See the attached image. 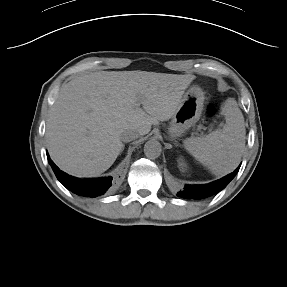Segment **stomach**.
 Masks as SVG:
<instances>
[{"label":"stomach","instance_id":"1","mask_svg":"<svg viewBox=\"0 0 287 287\" xmlns=\"http://www.w3.org/2000/svg\"><path fill=\"white\" fill-rule=\"evenodd\" d=\"M203 99L198 87L190 88L169 122L167 133L171 138L181 137L200 119L204 109Z\"/></svg>","mask_w":287,"mask_h":287}]
</instances>
